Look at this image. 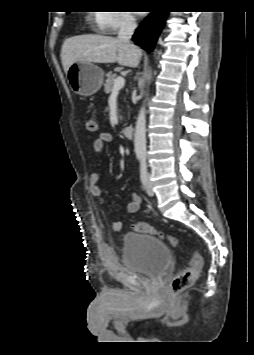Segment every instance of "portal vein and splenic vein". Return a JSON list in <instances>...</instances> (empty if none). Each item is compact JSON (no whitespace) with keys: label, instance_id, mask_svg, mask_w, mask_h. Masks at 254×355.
<instances>
[{"label":"portal vein and splenic vein","instance_id":"obj_1","mask_svg":"<svg viewBox=\"0 0 254 355\" xmlns=\"http://www.w3.org/2000/svg\"><path fill=\"white\" fill-rule=\"evenodd\" d=\"M125 79L123 77H117L113 84V91H119L124 87Z\"/></svg>","mask_w":254,"mask_h":355}]
</instances>
